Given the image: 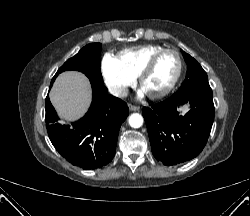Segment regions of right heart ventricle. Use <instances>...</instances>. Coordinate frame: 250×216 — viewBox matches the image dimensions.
Returning <instances> with one entry per match:
<instances>
[{"instance_id":"e07e8e85","label":"right heart ventricle","mask_w":250,"mask_h":216,"mask_svg":"<svg viewBox=\"0 0 250 216\" xmlns=\"http://www.w3.org/2000/svg\"><path fill=\"white\" fill-rule=\"evenodd\" d=\"M163 49L160 45L148 44L134 48L122 50L117 59L121 66L132 76L137 77L149 60V58L157 51Z\"/></svg>"}]
</instances>
